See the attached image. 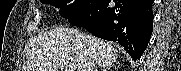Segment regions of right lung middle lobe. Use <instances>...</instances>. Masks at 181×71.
<instances>
[{"label":"right lung middle lobe","mask_w":181,"mask_h":71,"mask_svg":"<svg viewBox=\"0 0 181 71\" xmlns=\"http://www.w3.org/2000/svg\"><path fill=\"white\" fill-rule=\"evenodd\" d=\"M98 0H41L59 9L60 15L64 18H70L82 14L93 7Z\"/></svg>","instance_id":"obj_1"}]
</instances>
